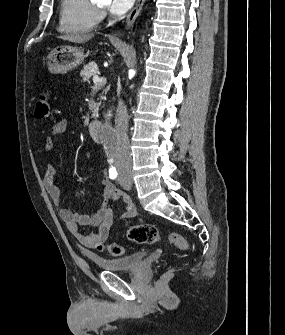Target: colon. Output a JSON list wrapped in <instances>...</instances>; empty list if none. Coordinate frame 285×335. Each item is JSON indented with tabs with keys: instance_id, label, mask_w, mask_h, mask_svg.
Listing matches in <instances>:
<instances>
[{
	"instance_id": "obj_1",
	"label": "colon",
	"mask_w": 285,
	"mask_h": 335,
	"mask_svg": "<svg viewBox=\"0 0 285 335\" xmlns=\"http://www.w3.org/2000/svg\"><path fill=\"white\" fill-rule=\"evenodd\" d=\"M50 115V98L45 92L41 93L36 101L35 116L39 119H47ZM127 238L138 244H154L160 241L161 237L158 229L151 224H137L129 227L127 230ZM167 242L182 250L189 248L188 241L178 233H170ZM98 250H107L113 256H122L125 248L119 244H110L104 246L103 242H99L95 246Z\"/></svg>"
}]
</instances>
